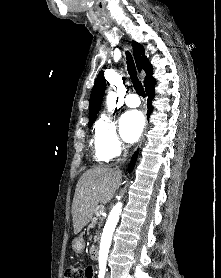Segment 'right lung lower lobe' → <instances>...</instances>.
<instances>
[{
	"label": "right lung lower lobe",
	"instance_id": "1",
	"mask_svg": "<svg viewBox=\"0 0 221 278\" xmlns=\"http://www.w3.org/2000/svg\"><path fill=\"white\" fill-rule=\"evenodd\" d=\"M154 85H155V80L153 79L152 81H150L146 86H145V91L147 93V96H148V102H147V107H148V111H147V117L150 116L151 112H152V99L154 97ZM137 158V152L133 155L132 159H131V162L129 164V167H128V172L130 173L133 168H134V164H135V160Z\"/></svg>",
	"mask_w": 221,
	"mask_h": 278
}]
</instances>
